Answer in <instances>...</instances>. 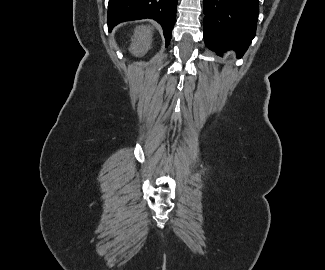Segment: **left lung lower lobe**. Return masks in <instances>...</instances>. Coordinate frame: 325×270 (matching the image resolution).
<instances>
[{"instance_id": "1", "label": "left lung lower lobe", "mask_w": 325, "mask_h": 270, "mask_svg": "<svg viewBox=\"0 0 325 270\" xmlns=\"http://www.w3.org/2000/svg\"><path fill=\"white\" fill-rule=\"evenodd\" d=\"M205 45L241 58L255 37L259 0H203Z\"/></svg>"}]
</instances>
